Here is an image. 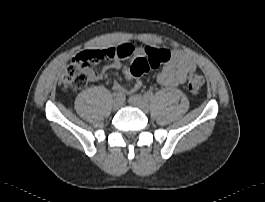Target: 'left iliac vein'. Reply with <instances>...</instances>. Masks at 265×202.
Masks as SVG:
<instances>
[{
    "label": "left iliac vein",
    "mask_w": 265,
    "mask_h": 202,
    "mask_svg": "<svg viewBox=\"0 0 265 202\" xmlns=\"http://www.w3.org/2000/svg\"><path fill=\"white\" fill-rule=\"evenodd\" d=\"M129 102L131 103L132 106L139 108L143 112L147 113L150 109L149 102L147 99L142 97L141 95H131L129 97Z\"/></svg>",
    "instance_id": "left-iliac-vein-1"
}]
</instances>
